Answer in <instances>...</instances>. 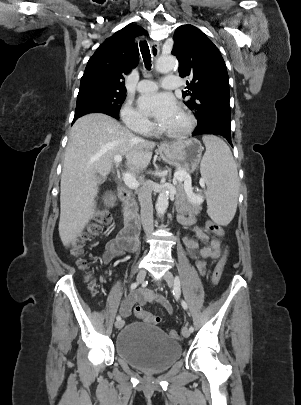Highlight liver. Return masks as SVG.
<instances>
[{"label":"liver","mask_w":301,"mask_h":405,"mask_svg":"<svg viewBox=\"0 0 301 405\" xmlns=\"http://www.w3.org/2000/svg\"><path fill=\"white\" fill-rule=\"evenodd\" d=\"M154 148L155 143L135 136L105 114H89L74 123L60 184L59 235L64 244L75 241L93 218L98 185L110 173L114 156H125L134 174L149 165Z\"/></svg>","instance_id":"6515ba94"}]
</instances>
